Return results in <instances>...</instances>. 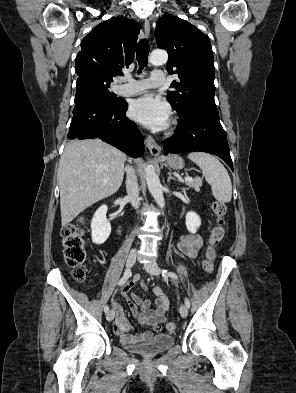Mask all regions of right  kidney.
Instances as JSON below:
<instances>
[{
  "instance_id": "obj_1",
  "label": "right kidney",
  "mask_w": 296,
  "mask_h": 393,
  "mask_svg": "<svg viewBox=\"0 0 296 393\" xmlns=\"http://www.w3.org/2000/svg\"><path fill=\"white\" fill-rule=\"evenodd\" d=\"M108 207L102 205L94 214L91 222L92 242L101 245L111 233V224L106 218Z\"/></svg>"
}]
</instances>
